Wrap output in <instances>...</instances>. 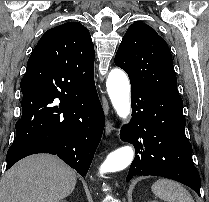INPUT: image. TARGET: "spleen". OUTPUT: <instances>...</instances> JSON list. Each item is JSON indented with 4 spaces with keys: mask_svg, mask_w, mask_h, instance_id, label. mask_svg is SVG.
Returning <instances> with one entry per match:
<instances>
[{
    "mask_svg": "<svg viewBox=\"0 0 209 202\" xmlns=\"http://www.w3.org/2000/svg\"><path fill=\"white\" fill-rule=\"evenodd\" d=\"M156 197L166 202H194L191 194L179 183L161 178L152 185Z\"/></svg>",
    "mask_w": 209,
    "mask_h": 202,
    "instance_id": "3e777b00",
    "label": "spleen"
}]
</instances>
